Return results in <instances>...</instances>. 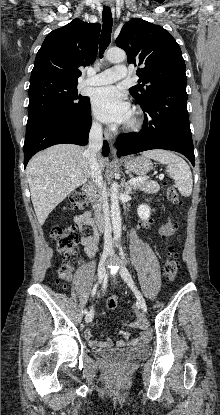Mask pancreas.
I'll return each instance as SVG.
<instances>
[{"label":"pancreas","mask_w":220,"mask_h":415,"mask_svg":"<svg viewBox=\"0 0 220 415\" xmlns=\"http://www.w3.org/2000/svg\"><path fill=\"white\" fill-rule=\"evenodd\" d=\"M133 189L141 190L145 193H157L160 190V186L155 181L146 180L143 182L135 183L132 186ZM95 198H99V201H105V193L99 191L98 194H94Z\"/></svg>","instance_id":"pancreas-1"}]
</instances>
